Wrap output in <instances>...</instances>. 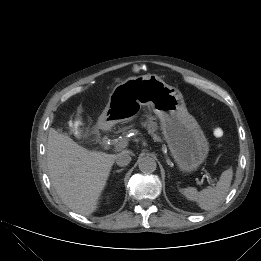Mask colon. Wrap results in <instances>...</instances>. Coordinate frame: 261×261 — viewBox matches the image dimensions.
Instances as JSON below:
<instances>
[{
  "instance_id": "1",
  "label": "colon",
  "mask_w": 261,
  "mask_h": 261,
  "mask_svg": "<svg viewBox=\"0 0 261 261\" xmlns=\"http://www.w3.org/2000/svg\"><path fill=\"white\" fill-rule=\"evenodd\" d=\"M213 133L216 137H221L223 135V131L220 128H215Z\"/></svg>"
}]
</instances>
